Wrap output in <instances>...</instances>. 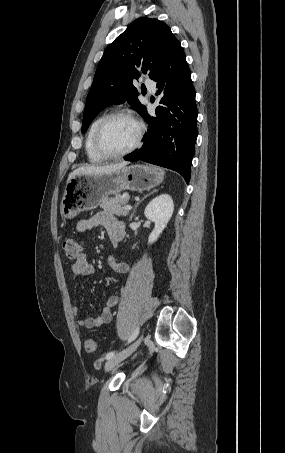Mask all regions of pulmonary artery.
<instances>
[{"instance_id":"1","label":"pulmonary artery","mask_w":285,"mask_h":453,"mask_svg":"<svg viewBox=\"0 0 285 453\" xmlns=\"http://www.w3.org/2000/svg\"><path fill=\"white\" fill-rule=\"evenodd\" d=\"M146 85H147L148 89H149L152 93L155 92V90H156V84H155L154 81H152V80H147V81H146Z\"/></svg>"}]
</instances>
